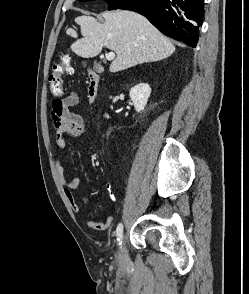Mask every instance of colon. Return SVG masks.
<instances>
[{"label":"colon","mask_w":249,"mask_h":294,"mask_svg":"<svg viewBox=\"0 0 249 294\" xmlns=\"http://www.w3.org/2000/svg\"><path fill=\"white\" fill-rule=\"evenodd\" d=\"M73 69L71 66V57L65 53L60 56V62L53 67L52 73L49 78V87L52 95L56 99L63 94L64 91V78L71 75Z\"/></svg>","instance_id":"colon-1"}]
</instances>
